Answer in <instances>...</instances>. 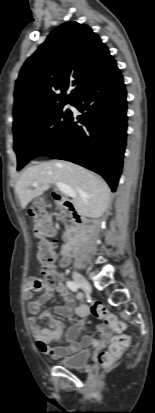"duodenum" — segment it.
I'll return each instance as SVG.
<instances>
[{"mask_svg":"<svg viewBox=\"0 0 155 413\" xmlns=\"http://www.w3.org/2000/svg\"><path fill=\"white\" fill-rule=\"evenodd\" d=\"M52 196L55 201L59 202L64 208H66L69 211L72 220L76 224H78L81 228L84 227V220L81 214L77 211L73 200L63 197L59 192L56 191L52 192ZM77 240L78 238L66 243L63 246L64 255H66L67 257H71L75 254Z\"/></svg>","mask_w":155,"mask_h":413,"instance_id":"obj_1","label":"duodenum"}]
</instances>
